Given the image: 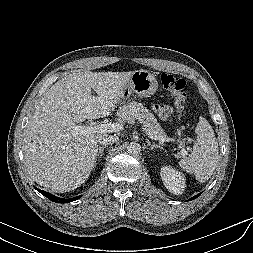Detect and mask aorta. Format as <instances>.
I'll use <instances>...</instances> for the list:
<instances>
[{"mask_svg": "<svg viewBox=\"0 0 253 253\" xmlns=\"http://www.w3.org/2000/svg\"><path fill=\"white\" fill-rule=\"evenodd\" d=\"M141 151V145L137 142H131L127 146V152L131 155H138Z\"/></svg>", "mask_w": 253, "mask_h": 253, "instance_id": "aorta-1", "label": "aorta"}]
</instances>
